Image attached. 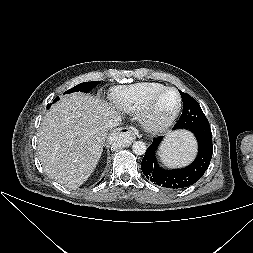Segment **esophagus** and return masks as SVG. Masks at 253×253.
Returning <instances> with one entry per match:
<instances>
[{
    "instance_id": "obj_1",
    "label": "esophagus",
    "mask_w": 253,
    "mask_h": 253,
    "mask_svg": "<svg viewBox=\"0 0 253 253\" xmlns=\"http://www.w3.org/2000/svg\"><path fill=\"white\" fill-rule=\"evenodd\" d=\"M118 133H128L131 138L135 139V130L132 127L119 128L117 129V134Z\"/></svg>"
}]
</instances>
